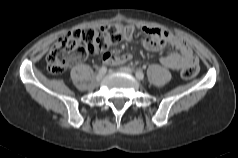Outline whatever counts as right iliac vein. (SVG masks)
I'll list each match as a JSON object with an SVG mask.
<instances>
[{
	"mask_svg": "<svg viewBox=\"0 0 238 158\" xmlns=\"http://www.w3.org/2000/svg\"><path fill=\"white\" fill-rule=\"evenodd\" d=\"M102 78H103V74H101V73L97 74V76H96L97 81H101Z\"/></svg>",
	"mask_w": 238,
	"mask_h": 158,
	"instance_id": "right-iliac-vein-1",
	"label": "right iliac vein"
}]
</instances>
